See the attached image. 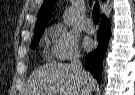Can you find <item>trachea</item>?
Instances as JSON below:
<instances>
[{
  "label": "trachea",
  "mask_w": 135,
  "mask_h": 95,
  "mask_svg": "<svg viewBox=\"0 0 135 95\" xmlns=\"http://www.w3.org/2000/svg\"><path fill=\"white\" fill-rule=\"evenodd\" d=\"M92 17L94 19V22L98 24L100 21V6L98 2H96V4L94 5L93 11H92Z\"/></svg>",
  "instance_id": "3493384b"
}]
</instances>
